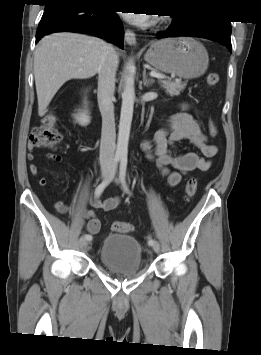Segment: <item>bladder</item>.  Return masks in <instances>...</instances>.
<instances>
[{"instance_id":"obj_1","label":"bladder","mask_w":261,"mask_h":355,"mask_svg":"<svg viewBox=\"0 0 261 355\" xmlns=\"http://www.w3.org/2000/svg\"><path fill=\"white\" fill-rule=\"evenodd\" d=\"M99 255L108 270L122 277L134 276L142 269V246L131 235L108 234Z\"/></svg>"}]
</instances>
